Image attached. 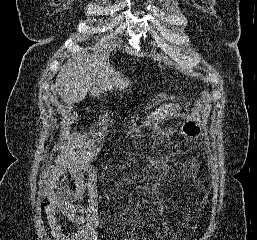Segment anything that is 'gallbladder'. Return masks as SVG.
Here are the masks:
<instances>
[{
	"label": "gallbladder",
	"mask_w": 257,
	"mask_h": 240,
	"mask_svg": "<svg viewBox=\"0 0 257 240\" xmlns=\"http://www.w3.org/2000/svg\"><path fill=\"white\" fill-rule=\"evenodd\" d=\"M59 105H60V108H61L62 110L67 111V112L70 111L71 108H72L70 104L64 102L63 100L60 101Z\"/></svg>",
	"instance_id": "1"
}]
</instances>
